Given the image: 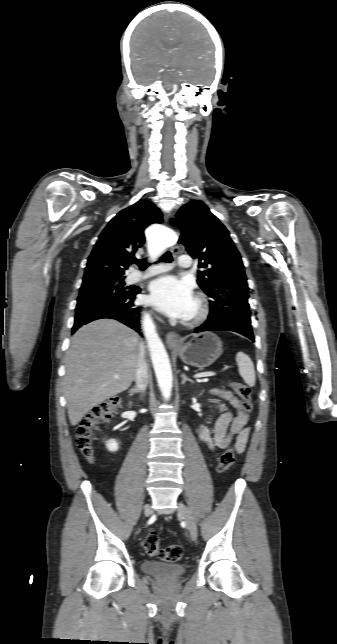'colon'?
Listing matches in <instances>:
<instances>
[{"instance_id":"5ec220e1","label":"colon","mask_w":337,"mask_h":644,"mask_svg":"<svg viewBox=\"0 0 337 644\" xmlns=\"http://www.w3.org/2000/svg\"><path fill=\"white\" fill-rule=\"evenodd\" d=\"M230 385L241 400L243 413H250L253 409L250 389L245 384L236 381H231ZM121 403V398H112L94 407L82 420L77 432V445L89 460H92L93 442L99 425L113 417L121 406ZM234 461L235 450L230 446L222 452L218 459V472L224 473L228 471ZM143 548L148 555L158 556L166 562H177L183 554L182 547L178 544H172L160 549L159 535L156 532H150L145 536Z\"/></svg>"}]
</instances>
